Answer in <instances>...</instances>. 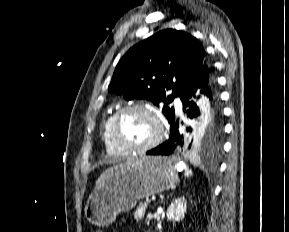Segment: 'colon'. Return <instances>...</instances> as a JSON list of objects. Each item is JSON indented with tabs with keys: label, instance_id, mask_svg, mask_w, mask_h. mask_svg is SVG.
I'll list each match as a JSON object with an SVG mask.
<instances>
[{
	"label": "colon",
	"instance_id": "obj_1",
	"mask_svg": "<svg viewBox=\"0 0 289 232\" xmlns=\"http://www.w3.org/2000/svg\"><path fill=\"white\" fill-rule=\"evenodd\" d=\"M95 232H103V231H101V230H96Z\"/></svg>",
	"mask_w": 289,
	"mask_h": 232
}]
</instances>
